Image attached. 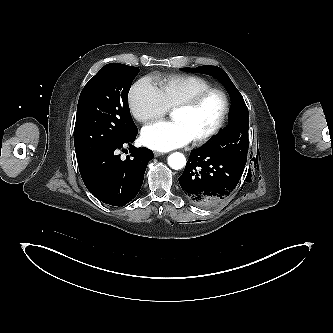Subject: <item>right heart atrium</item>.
Instances as JSON below:
<instances>
[{"mask_svg":"<svg viewBox=\"0 0 333 333\" xmlns=\"http://www.w3.org/2000/svg\"><path fill=\"white\" fill-rule=\"evenodd\" d=\"M128 105L132 116L140 123L159 119L168 111L158 88L148 78H142L132 86Z\"/></svg>","mask_w":333,"mask_h":333,"instance_id":"1","label":"right heart atrium"}]
</instances>
